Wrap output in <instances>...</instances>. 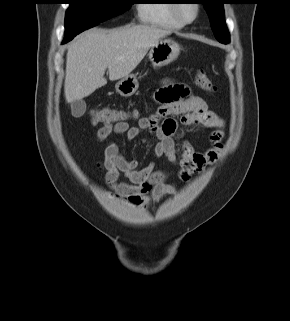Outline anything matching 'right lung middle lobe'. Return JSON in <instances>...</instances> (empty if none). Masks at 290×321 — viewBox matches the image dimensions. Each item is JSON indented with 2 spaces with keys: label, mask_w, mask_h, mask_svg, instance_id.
I'll list each match as a JSON object with an SVG mask.
<instances>
[{
  "label": "right lung middle lobe",
  "mask_w": 290,
  "mask_h": 321,
  "mask_svg": "<svg viewBox=\"0 0 290 321\" xmlns=\"http://www.w3.org/2000/svg\"><path fill=\"white\" fill-rule=\"evenodd\" d=\"M70 4L65 18L63 43L80 32L128 10L132 0H67Z\"/></svg>",
  "instance_id": "dd1d6c3e"
}]
</instances>
